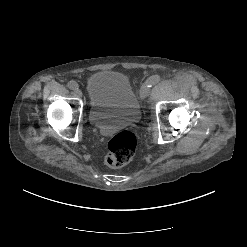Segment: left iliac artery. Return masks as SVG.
Returning a JSON list of instances; mask_svg holds the SVG:
<instances>
[{"label": "left iliac artery", "mask_w": 247, "mask_h": 247, "mask_svg": "<svg viewBox=\"0 0 247 247\" xmlns=\"http://www.w3.org/2000/svg\"><path fill=\"white\" fill-rule=\"evenodd\" d=\"M160 79H161L160 76L154 75L147 80L146 84L150 88L153 85L157 84L160 81Z\"/></svg>", "instance_id": "1"}]
</instances>
